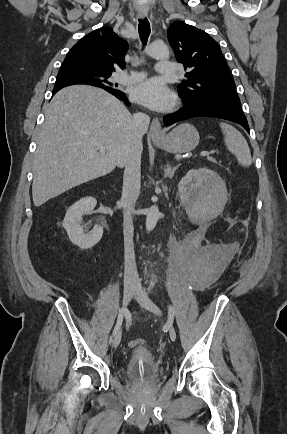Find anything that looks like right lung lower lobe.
<instances>
[{
    "label": "right lung lower lobe",
    "mask_w": 287,
    "mask_h": 434,
    "mask_svg": "<svg viewBox=\"0 0 287 434\" xmlns=\"http://www.w3.org/2000/svg\"><path fill=\"white\" fill-rule=\"evenodd\" d=\"M60 89H58V90H60ZM57 91H53L52 95H54ZM108 92L111 93V94H113L114 96H116L118 99L124 101L126 105H128V106L130 105V103H129V101H128L126 95H125V93H123L122 91H120V90H113V91H108Z\"/></svg>",
    "instance_id": "right-lung-lower-lobe-1"
}]
</instances>
